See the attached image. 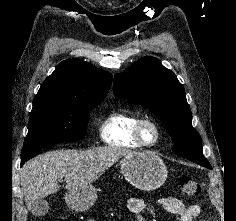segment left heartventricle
<instances>
[{
  "label": "left heart ventricle",
  "instance_id": "1",
  "mask_svg": "<svg viewBox=\"0 0 236 221\" xmlns=\"http://www.w3.org/2000/svg\"><path fill=\"white\" fill-rule=\"evenodd\" d=\"M143 136L146 141L151 142L155 138V130L150 125H146L143 129Z\"/></svg>",
  "mask_w": 236,
  "mask_h": 221
}]
</instances>
